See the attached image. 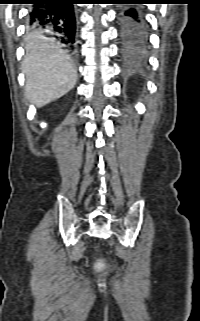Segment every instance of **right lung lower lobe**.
<instances>
[{
    "mask_svg": "<svg viewBox=\"0 0 200 321\" xmlns=\"http://www.w3.org/2000/svg\"><path fill=\"white\" fill-rule=\"evenodd\" d=\"M29 26L44 28L55 33V36L69 49L75 48L76 18L74 4L77 0H29Z\"/></svg>",
    "mask_w": 200,
    "mask_h": 321,
    "instance_id": "1",
    "label": "right lung lower lobe"
}]
</instances>
